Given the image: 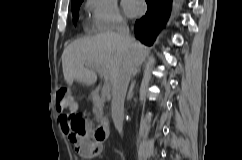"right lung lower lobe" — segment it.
Segmentation results:
<instances>
[{"instance_id":"obj_1","label":"right lung lower lobe","mask_w":242,"mask_h":160,"mask_svg":"<svg viewBox=\"0 0 242 160\" xmlns=\"http://www.w3.org/2000/svg\"><path fill=\"white\" fill-rule=\"evenodd\" d=\"M148 9L135 23V36L146 45H152L159 30L165 27L172 0H146Z\"/></svg>"}]
</instances>
